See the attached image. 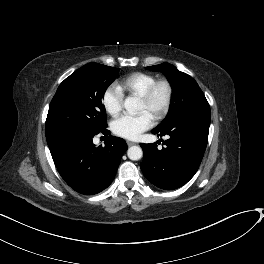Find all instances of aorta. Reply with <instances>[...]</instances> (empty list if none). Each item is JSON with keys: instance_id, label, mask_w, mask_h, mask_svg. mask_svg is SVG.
Segmentation results:
<instances>
[{"instance_id": "aorta-1", "label": "aorta", "mask_w": 264, "mask_h": 264, "mask_svg": "<svg viewBox=\"0 0 264 264\" xmlns=\"http://www.w3.org/2000/svg\"><path fill=\"white\" fill-rule=\"evenodd\" d=\"M124 107L131 115L137 114L140 111V102L136 97H128L125 99ZM142 149L139 146H131L127 155L131 160H139L142 157Z\"/></svg>"}]
</instances>
